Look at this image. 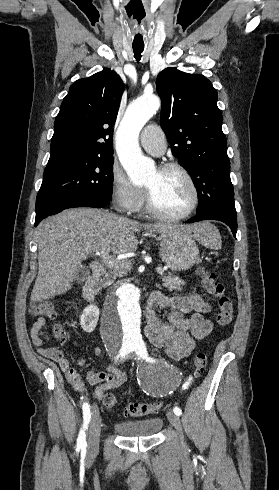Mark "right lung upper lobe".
<instances>
[{
  "instance_id": "cb5924a9",
  "label": "right lung upper lobe",
  "mask_w": 279,
  "mask_h": 490,
  "mask_svg": "<svg viewBox=\"0 0 279 490\" xmlns=\"http://www.w3.org/2000/svg\"><path fill=\"white\" fill-rule=\"evenodd\" d=\"M124 84L110 69L73 83L55 119L48 163L113 150Z\"/></svg>"
}]
</instances>
